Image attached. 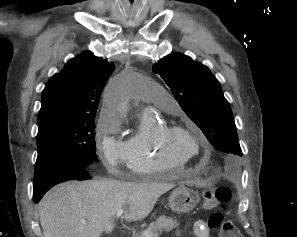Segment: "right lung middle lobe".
Instances as JSON below:
<instances>
[{
	"instance_id": "dd1d6c3e",
	"label": "right lung middle lobe",
	"mask_w": 297,
	"mask_h": 237,
	"mask_svg": "<svg viewBox=\"0 0 297 237\" xmlns=\"http://www.w3.org/2000/svg\"><path fill=\"white\" fill-rule=\"evenodd\" d=\"M95 117H56L38 123V157L35 163L34 188L46 186L60 168L80 166L87 169L97 160Z\"/></svg>"
}]
</instances>
